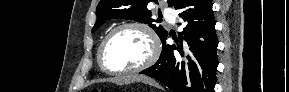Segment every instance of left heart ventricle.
Here are the masks:
<instances>
[{
  "mask_svg": "<svg viewBox=\"0 0 289 92\" xmlns=\"http://www.w3.org/2000/svg\"><path fill=\"white\" fill-rule=\"evenodd\" d=\"M150 54V43L145 33L136 28H126L109 41L104 61L112 70H123L143 63Z\"/></svg>",
  "mask_w": 289,
  "mask_h": 92,
  "instance_id": "obj_1",
  "label": "left heart ventricle"
}]
</instances>
